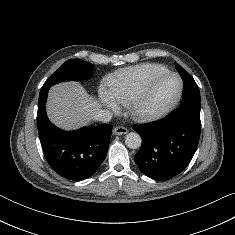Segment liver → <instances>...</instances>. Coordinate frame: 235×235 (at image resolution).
<instances>
[{"mask_svg": "<svg viewBox=\"0 0 235 235\" xmlns=\"http://www.w3.org/2000/svg\"><path fill=\"white\" fill-rule=\"evenodd\" d=\"M100 105L76 82L60 83L49 90L47 115L64 130L76 129L95 119Z\"/></svg>", "mask_w": 235, "mask_h": 235, "instance_id": "6515ba94", "label": "liver"}]
</instances>
